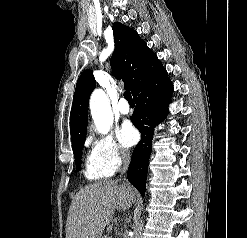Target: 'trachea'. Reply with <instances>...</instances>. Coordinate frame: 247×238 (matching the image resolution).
<instances>
[{
    "instance_id": "trachea-1",
    "label": "trachea",
    "mask_w": 247,
    "mask_h": 238,
    "mask_svg": "<svg viewBox=\"0 0 247 238\" xmlns=\"http://www.w3.org/2000/svg\"><path fill=\"white\" fill-rule=\"evenodd\" d=\"M124 97H125V99L128 101V103H130V104H131V103H134L130 91H125V92H124Z\"/></svg>"
}]
</instances>
